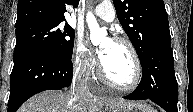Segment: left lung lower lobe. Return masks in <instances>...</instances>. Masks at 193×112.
Segmentation results:
<instances>
[{
	"mask_svg": "<svg viewBox=\"0 0 193 112\" xmlns=\"http://www.w3.org/2000/svg\"><path fill=\"white\" fill-rule=\"evenodd\" d=\"M170 41V38L163 39L150 48L146 57L140 61L141 82L134 92L124 96L125 99H150L167 112H178V84Z\"/></svg>",
	"mask_w": 193,
	"mask_h": 112,
	"instance_id": "1",
	"label": "left lung lower lobe"
}]
</instances>
